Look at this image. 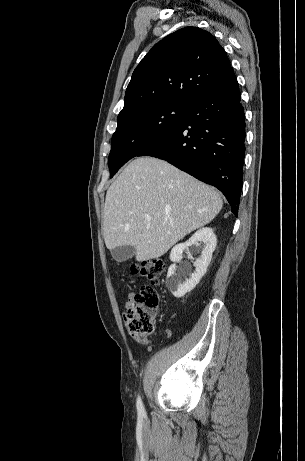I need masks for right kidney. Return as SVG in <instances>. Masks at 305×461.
I'll use <instances>...</instances> for the list:
<instances>
[{
  "label": "right kidney",
  "instance_id": "ca27d5eb",
  "mask_svg": "<svg viewBox=\"0 0 305 461\" xmlns=\"http://www.w3.org/2000/svg\"><path fill=\"white\" fill-rule=\"evenodd\" d=\"M203 244L201 256L193 263L195 271L190 274L189 278L182 281V278L176 274V264L182 259L183 251L192 245ZM217 244V238L211 228L205 227L195 232L185 243L173 247L170 253V259L174 262L168 269L166 286L176 298L183 297L186 293L192 291L205 275L207 267L210 264L212 253Z\"/></svg>",
  "mask_w": 305,
  "mask_h": 461
}]
</instances>
